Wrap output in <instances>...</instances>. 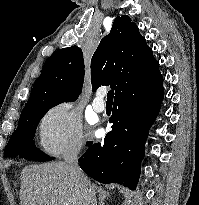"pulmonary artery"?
<instances>
[{
	"label": "pulmonary artery",
	"mask_w": 199,
	"mask_h": 205,
	"mask_svg": "<svg viewBox=\"0 0 199 205\" xmlns=\"http://www.w3.org/2000/svg\"><path fill=\"white\" fill-rule=\"evenodd\" d=\"M103 97H104V91L98 90L92 102V106L96 112H99V113L103 112L106 108Z\"/></svg>",
	"instance_id": "1"
}]
</instances>
